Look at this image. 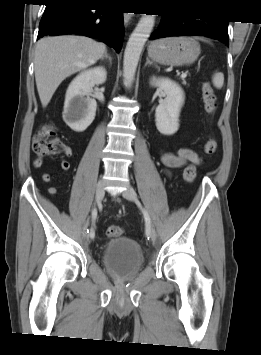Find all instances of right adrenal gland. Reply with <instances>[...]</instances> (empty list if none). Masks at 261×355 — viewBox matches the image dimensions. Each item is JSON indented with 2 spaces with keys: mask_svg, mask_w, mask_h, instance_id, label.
Listing matches in <instances>:
<instances>
[{
  "mask_svg": "<svg viewBox=\"0 0 261 355\" xmlns=\"http://www.w3.org/2000/svg\"><path fill=\"white\" fill-rule=\"evenodd\" d=\"M105 59H108L111 64L112 59H111V56L108 55L107 50L105 51L103 57H101V61H104Z\"/></svg>",
  "mask_w": 261,
  "mask_h": 355,
  "instance_id": "1",
  "label": "right adrenal gland"
}]
</instances>
